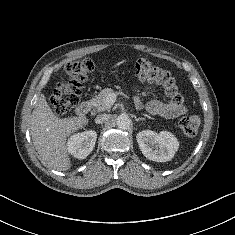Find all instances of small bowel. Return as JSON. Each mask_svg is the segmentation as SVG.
I'll use <instances>...</instances> for the list:
<instances>
[{
	"instance_id": "small-bowel-1",
	"label": "small bowel",
	"mask_w": 235,
	"mask_h": 235,
	"mask_svg": "<svg viewBox=\"0 0 235 235\" xmlns=\"http://www.w3.org/2000/svg\"><path fill=\"white\" fill-rule=\"evenodd\" d=\"M135 106L138 109L143 108V103L139 97L134 99ZM146 110L156 116H160L166 119H174L186 112V107L180 103L163 102L160 100H151L146 104Z\"/></svg>"
}]
</instances>
